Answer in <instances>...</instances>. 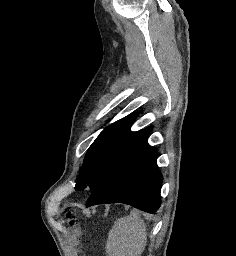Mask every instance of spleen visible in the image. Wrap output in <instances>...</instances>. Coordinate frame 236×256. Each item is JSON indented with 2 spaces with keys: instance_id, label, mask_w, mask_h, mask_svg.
I'll return each instance as SVG.
<instances>
[{
  "instance_id": "3e777b00",
  "label": "spleen",
  "mask_w": 236,
  "mask_h": 256,
  "mask_svg": "<svg viewBox=\"0 0 236 256\" xmlns=\"http://www.w3.org/2000/svg\"><path fill=\"white\" fill-rule=\"evenodd\" d=\"M146 226L135 212L119 218L108 232L105 252L107 256H141L146 246Z\"/></svg>"
}]
</instances>
